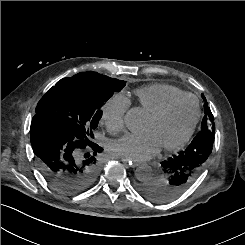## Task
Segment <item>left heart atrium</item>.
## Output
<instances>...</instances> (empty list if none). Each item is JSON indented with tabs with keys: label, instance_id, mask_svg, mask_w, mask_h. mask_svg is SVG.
I'll return each instance as SVG.
<instances>
[{
	"label": "left heart atrium",
	"instance_id": "39dd6f15",
	"mask_svg": "<svg viewBox=\"0 0 245 245\" xmlns=\"http://www.w3.org/2000/svg\"><path fill=\"white\" fill-rule=\"evenodd\" d=\"M159 149L160 147L148 132L142 134H126L111 144L113 154L133 161L148 160Z\"/></svg>",
	"mask_w": 245,
	"mask_h": 245
}]
</instances>
